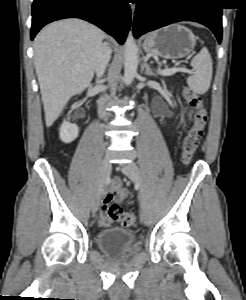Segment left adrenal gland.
Returning <instances> with one entry per match:
<instances>
[{
    "label": "left adrenal gland",
    "instance_id": "obj_1",
    "mask_svg": "<svg viewBox=\"0 0 246 300\" xmlns=\"http://www.w3.org/2000/svg\"><path fill=\"white\" fill-rule=\"evenodd\" d=\"M143 67L145 68V74L148 76H155L153 71L151 70L150 66L148 65L147 61L144 60Z\"/></svg>",
    "mask_w": 246,
    "mask_h": 300
}]
</instances>
